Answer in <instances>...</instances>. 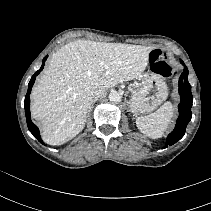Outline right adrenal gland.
<instances>
[{
    "label": "right adrenal gland",
    "mask_w": 211,
    "mask_h": 211,
    "mask_svg": "<svg viewBox=\"0 0 211 211\" xmlns=\"http://www.w3.org/2000/svg\"><path fill=\"white\" fill-rule=\"evenodd\" d=\"M95 101H97V99H95V100L93 101V104H92L91 109L93 108V105H94ZM91 109L89 110V112L91 111Z\"/></svg>",
    "instance_id": "obj_1"
}]
</instances>
